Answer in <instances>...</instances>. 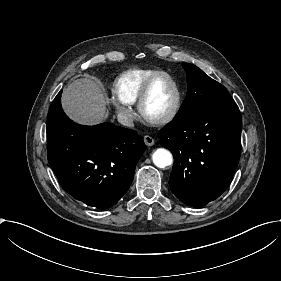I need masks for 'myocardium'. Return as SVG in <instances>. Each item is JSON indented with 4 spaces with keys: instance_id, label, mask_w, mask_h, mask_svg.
Listing matches in <instances>:
<instances>
[{
    "instance_id": "obj_1",
    "label": "myocardium",
    "mask_w": 281,
    "mask_h": 281,
    "mask_svg": "<svg viewBox=\"0 0 281 281\" xmlns=\"http://www.w3.org/2000/svg\"><path fill=\"white\" fill-rule=\"evenodd\" d=\"M164 79L170 81L173 86V90H174L173 105H172L170 112L166 116H164L162 118H153V117H150L149 115H147V113L144 110V106H145V103L147 102V100L149 99V97L151 96L155 85L159 81L164 80ZM180 107H181V90H180L179 84H178L177 80L175 79V77L169 73L158 74V75L151 77L146 82V84L137 100V109H138V112H139L141 118L144 121H146L150 124H153V125H166V124L172 122L178 115Z\"/></svg>"
}]
</instances>
